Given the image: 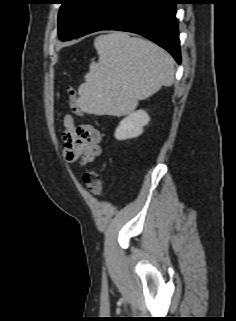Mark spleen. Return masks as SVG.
I'll return each mask as SVG.
<instances>
[{"instance_id":"3e777b00","label":"spleen","mask_w":236,"mask_h":321,"mask_svg":"<svg viewBox=\"0 0 236 321\" xmlns=\"http://www.w3.org/2000/svg\"><path fill=\"white\" fill-rule=\"evenodd\" d=\"M99 55L92 62L78 93V106L86 113L121 116L139 100L174 82V60L149 41L114 32L95 39Z\"/></svg>"}]
</instances>
